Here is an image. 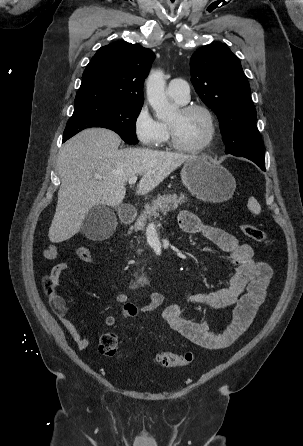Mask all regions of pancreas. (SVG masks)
Segmentation results:
<instances>
[{
  "mask_svg": "<svg viewBox=\"0 0 303 446\" xmlns=\"http://www.w3.org/2000/svg\"><path fill=\"white\" fill-rule=\"evenodd\" d=\"M187 197L185 194H166L163 196H158L156 200H153L151 204H147L145 209L141 212L140 216L137 218L134 230H145V226L148 222L160 218L161 215H166L169 211L175 210L179 205L185 203ZM141 251L139 250V253Z\"/></svg>",
  "mask_w": 303,
  "mask_h": 446,
  "instance_id": "1",
  "label": "pancreas"
}]
</instances>
